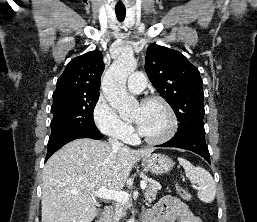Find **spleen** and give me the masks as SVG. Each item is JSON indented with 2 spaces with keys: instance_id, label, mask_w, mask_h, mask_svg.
Returning a JSON list of instances; mask_svg holds the SVG:
<instances>
[{
  "instance_id": "3e777b00",
  "label": "spleen",
  "mask_w": 257,
  "mask_h": 222,
  "mask_svg": "<svg viewBox=\"0 0 257 222\" xmlns=\"http://www.w3.org/2000/svg\"><path fill=\"white\" fill-rule=\"evenodd\" d=\"M178 161L191 183L198 185V198L205 203H211L216 196V185L211 174L202 167L193 166L184 158H178Z\"/></svg>"
}]
</instances>
